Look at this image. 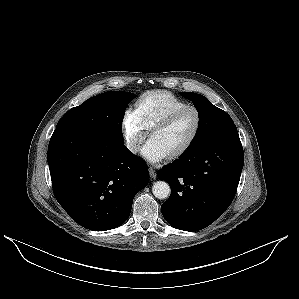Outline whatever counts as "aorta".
Here are the masks:
<instances>
[{"label": "aorta", "mask_w": 299, "mask_h": 299, "mask_svg": "<svg viewBox=\"0 0 299 299\" xmlns=\"http://www.w3.org/2000/svg\"><path fill=\"white\" fill-rule=\"evenodd\" d=\"M154 196L158 199H165L170 195L171 189L167 182L157 181L152 187Z\"/></svg>", "instance_id": "aorta-1"}]
</instances>
